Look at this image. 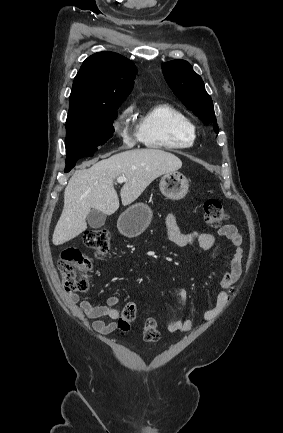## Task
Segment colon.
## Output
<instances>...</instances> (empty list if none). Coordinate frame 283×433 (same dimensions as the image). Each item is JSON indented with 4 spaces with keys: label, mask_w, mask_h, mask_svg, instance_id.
<instances>
[{
    "label": "colon",
    "mask_w": 283,
    "mask_h": 433,
    "mask_svg": "<svg viewBox=\"0 0 283 433\" xmlns=\"http://www.w3.org/2000/svg\"><path fill=\"white\" fill-rule=\"evenodd\" d=\"M204 220L211 227H219L229 217L228 212L220 201L206 200L203 204ZM84 244L99 258L110 251V235L106 230H92L85 234ZM91 269V261L77 248H67L61 253L58 270L62 277L64 290L68 294L84 292L88 288L87 273ZM137 307L134 303H127L118 320L117 327L121 333L128 332L136 318ZM160 338L158 324L149 318L143 327V340L155 345Z\"/></svg>",
    "instance_id": "obj_1"
}]
</instances>
